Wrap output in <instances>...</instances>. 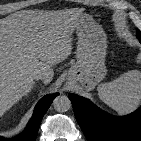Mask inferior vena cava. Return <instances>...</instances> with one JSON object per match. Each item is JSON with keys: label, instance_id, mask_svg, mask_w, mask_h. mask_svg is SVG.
<instances>
[{"label": "inferior vena cava", "instance_id": "obj_1", "mask_svg": "<svg viewBox=\"0 0 141 141\" xmlns=\"http://www.w3.org/2000/svg\"><path fill=\"white\" fill-rule=\"evenodd\" d=\"M33 78L35 80H43L45 83H48L51 81V78L47 73L40 72V71L34 73Z\"/></svg>", "mask_w": 141, "mask_h": 141}]
</instances>
